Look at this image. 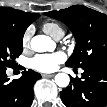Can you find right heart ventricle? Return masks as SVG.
Instances as JSON below:
<instances>
[{
    "mask_svg": "<svg viewBox=\"0 0 107 107\" xmlns=\"http://www.w3.org/2000/svg\"><path fill=\"white\" fill-rule=\"evenodd\" d=\"M42 28L45 33L54 39H60L65 35L64 28L56 22H46L43 24Z\"/></svg>",
    "mask_w": 107,
    "mask_h": 107,
    "instance_id": "e07e8e85",
    "label": "right heart ventricle"
}]
</instances>
